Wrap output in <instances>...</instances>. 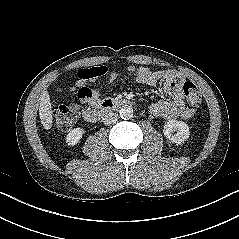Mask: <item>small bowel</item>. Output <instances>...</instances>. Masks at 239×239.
<instances>
[{"label":"small bowel","instance_id":"1","mask_svg":"<svg viewBox=\"0 0 239 239\" xmlns=\"http://www.w3.org/2000/svg\"><path fill=\"white\" fill-rule=\"evenodd\" d=\"M98 67H89L78 71L77 96L79 100L88 105L96 106L101 101L99 89L91 87V83L96 82L102 75L89 76V73ZM128 71L136 77V80L144 85L154 86L160 80H164L162 92L170 96L171 100H162L154 103L150 107V112L164 119H189L194 115V111L185 106L181 93L183 77L173 72L155 71L147 66H130ZM104 75V74H103ZM116 77L114 72L108 73V81H113Z\"/></svg>","mask_w":239,"mask_h":239}]
</instances>
